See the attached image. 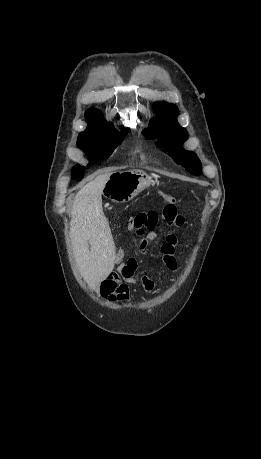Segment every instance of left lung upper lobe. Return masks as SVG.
Instances as JSON below:
<instances>
[{
  "mask_svg": "<svg viewBox=\"0 0 261 459\" xmlns=\"http://www.w3.org/2000/svg\"><path fill=\"white\" fill-rule=\"evenodd\" d=\"M153 107L158 115L151 121L144 135L149 139L157 138L159 145L165 148L175 162L185 166L192 174L200 175V160L195 153L182 148L188 134L186 129L177 123V106L157 102Z\"/></svg>",
  "mask_w": 261,
  "mask_h": 459,
  "instance_id": "left-lung-upper-lobe-1",
  "label": "left lung upper lobe"
}]
</instances>
